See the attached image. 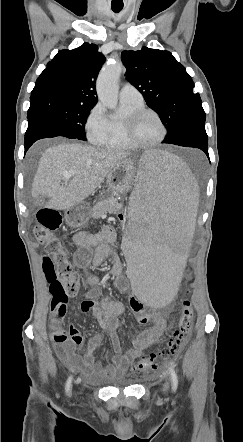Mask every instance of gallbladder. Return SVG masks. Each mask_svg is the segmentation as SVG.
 I'll return each instance as SVG.
<instances>
[{"label":"gallbladder","instance_id":"bac80fb5","mask_svg":"<svg viewBox=\"0 0 243 442\" xmlns=\"http://www.w3.org/2000/svg\"><path fill=\"white\" fill-rule=\"evenodd\" d=\"M44 203V197H38L35 199V204L36 205H41Z\"/></svg>","mask_w":243,"mask_h":442}]
</instances>
